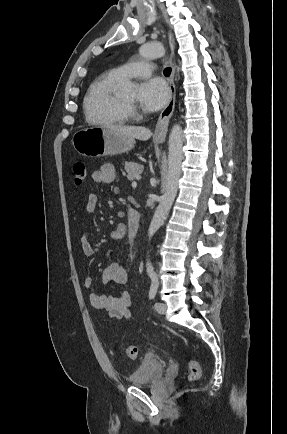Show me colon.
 Returning <instances> with one entry per match:
<instances>
[{
	"label": "colon",
	"instance_id": "1",
	"mask_svg": "<svg viewBox=\"0 0 287 434\" xmlns=\"http://www.w3.org/2000/svg\"><path fill=\"white\" fill-rule=\"evenodd\" d=\"M86 178V167L81 161L74 163L73 165V184L75 186H80ZM124 355L129 359H136L138 356V349L136 346L129 345L125 346L123 349ZM189 381H197L201 378V366L200 363L194 359H189Z\"/></svg>",
	"mask_w": 287,
	"mask_h": 434
}]
</instances>
